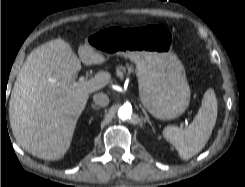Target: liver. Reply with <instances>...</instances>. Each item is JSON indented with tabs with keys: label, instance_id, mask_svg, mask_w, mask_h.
Here are the masks:
<instances>
[{
	"label": "liver",
	"instance_id": "liver-1",
	"mask_svg": "<svg viewBox=\"0 0 245 187\" xmlns=\"http://www.w3.org/2000/svg\"><path fill=\"white\" fill-rule=\"evenodd\" d=\"M78 55L58 38L35 48L18 72L9 101V119L17 143L44 160H58L68 151L76 123L89 94L108 85L111 74L99 72L76 81L85 65H100L104 54L86 42Z\"/></svg>",
	"mask_w": 245,
	"mask_h": 187
}]
</instances>
